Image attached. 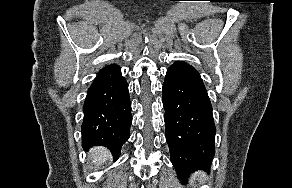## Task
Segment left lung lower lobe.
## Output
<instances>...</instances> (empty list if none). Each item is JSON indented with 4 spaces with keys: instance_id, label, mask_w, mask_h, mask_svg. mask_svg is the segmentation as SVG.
<instances>
[{
    "instance_id": "left-lung-lower-lobe-1",
    "label": "left lung lower lobe",
    "mask_w": 292,
    "mask_h": 188,
    "mask_svg": "<svg viewBox=\"0 0 292 188\" xmlns=\"http://www.w3.org/2000/svg\"><path fill=\"white\" fill-rule=\"evenodd\" d=\"M166 141L171 162L182 181L198 170H209L215 154L216 128L212 106L197 70L175 62L163 84Z\"/></svg>"
}]
</instances>
